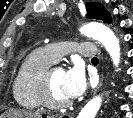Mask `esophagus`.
<instances>
[{
    "mask_svg": "<svg viewBox=\"0 0 133 118\" xmlns=\"http://www.w3.org/2000/svg\"><path fill=\"white\" fill-rule=\"evenodd\" d=\"M102 83H103V74L101 75L99 85L93 91V95L99 90V88L101 87ZM60 118H74V113H70V112L69 113H64V114L60 115Z\"/></svg>",
    "mask_w": 133,
    "mask_h": 118,
    "instance_id": "obj_1",
    "label": "esophagus"
}]
</instances>
